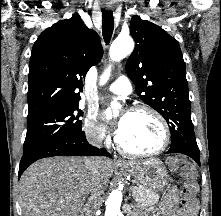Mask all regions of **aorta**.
<instances>
[{"mask_svg":"<svg viewBox=\"0 0 221 216\" xmlns=\"http://www.w3.org/2000/svg\"><path fill=\"white\" fill-rule=\"evenodd\" d=\"M134 49V41L130 36H118L110 47V58L113 61H120ZM110 68H108L101 77L100 83L103 85L109 79ZM120 108V104L116 101L111 103V106L107 108L105 115L107 118L112 117V113H117ZM122 192L120 190H113L106 200L105 216H118L120 214V207L122 203Z\"/></svg>","mask_w":221,"mask_h":216,"instance_id":"aorta-1","label":"aorta"}]
</instances>
